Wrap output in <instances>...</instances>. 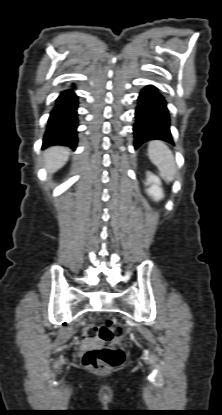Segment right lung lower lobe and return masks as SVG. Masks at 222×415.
Returning <instances> with one entry per match:
<instances>
[{"instance_id":"98d812e1","label":"right lung lower lobe","mask_w":222,"mask_h":415,"mask_svg":"<svg viewBox=\"0 0 222 415\" xmlns=\"http://www.w3.org/2000/svg\"><path fill=\"white\" fill-rule=\"evenodd\" d=\"M77 106L78 98L73 90L61 92L48 120L47 130L43 138V148L52 145L76 148Z\"/></svg>"}]
</instances>
